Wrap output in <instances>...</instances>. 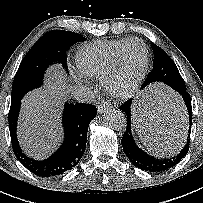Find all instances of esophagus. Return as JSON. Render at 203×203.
I'll return each instance as SVG.
<instances>
[{
  "mask_svg": "<svg viewBox=\"0 0 203 203\" xmlns=\"http://www.w3.org/2000/svg\"><path fill=\"white\" fill-rule=\"evenodd\" d=\"M109 107V104L108 103H101V104H99L98 106H97V111H98V113H103V112H105L106 111V109Z\"/></svg>",
  "mask_w": 203,
  "mask_h": 203,
  "instance_id": "34e87169",
  "label": "esophagus"
}]
</instances>
